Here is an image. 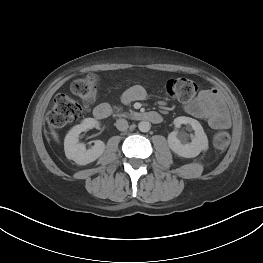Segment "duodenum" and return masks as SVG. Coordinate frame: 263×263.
<instances>
[{
    "instance_id": "1",
    "label": "duodenum",
    "mask_w": 263,
    "mask_h": 263,
    "mask_svg": "<svg viewBox=\"0 0 263 263\" xmlns=\"http://www.w3.org/2000/svg\"><path fill=\"white\" fill-rule=\"evenodd\" d=\"M112 113L111 108L108 105L102 104L95 107L93 110V115L98 120H103L109 117ZM122 117H130L135 120H144L152 123H160L162 121V116L155 111H148L142 113H134L131 115L121 114Z\"/></svg>"
}]
</instances>
